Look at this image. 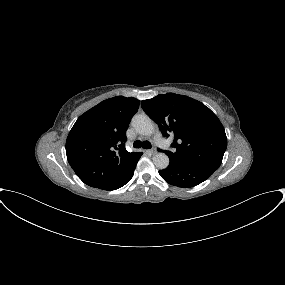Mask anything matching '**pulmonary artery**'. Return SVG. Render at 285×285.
Here are the masks:
<instances>
[{
    "label": "pulmonary artery",
    "instance_id": "pulmonary-artery-1",
    "mask_svg": "<svg viewBox=\"0 0 285 285\" xmlns=\"http://www.w3.org/2000/svg\"><path fill=\"white\" fill-rule=\"evenodd\" d=\"M155 139H156L160 148H162V149H168L169 148V144L165 140L160 139L158 137V135L156 136Z\"/></svg>",
    "mask_w": 285,
    "mask_h": 285
}]
</instances>
